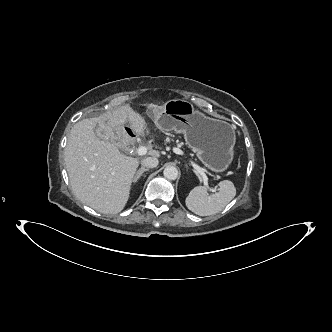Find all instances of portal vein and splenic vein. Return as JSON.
Listing matches in <instances>:
<instances>
[{
  "label": "portal vein and splenic vein",
  "instance_id": "18ae733b",
  "mask_svg": "<svg viewBox=\"0 0 332 332\" xmlns=\"http://www.w3.org/2000/svg\"><path fill=\"white\" fill-rule=\"evenodd\" d=\"M174 152L176 154H179V155H185L184 152L178 148H175L174 149ZM147 153V148L144 147V146H140L138 149H137V154L142 156V155H145ZM190 164L192 165V167L195 169L196 173L200 174L202 176V179H203V183L204 185L207 187V189L209 191H212V192H215L216 189L214 188H210L209 185H208V178H207V175L205 173V170L203 168H201L200 166H198L195 162H193L192 160H189Z\"/></svg>",
  "mask_w": 332,
  "mask_h": 332
}]
</instances>
